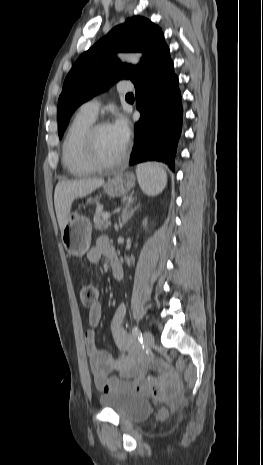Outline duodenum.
<instances>
[{"instance_id":"410a0bca","label":"duodenum","mask_w":263,"mask_h":465,"mask_svg":"<svg viewBox=\"0 0 263 465\" xmlns=\"http://www.w3.org/2000/svg\"><path fill=\"white\" fill-rule=\"evenodd\" d=\"M110 265L114 278L121 280L123 277V268L116 254L110 257Z\"/></svg>"}]
</instances>
